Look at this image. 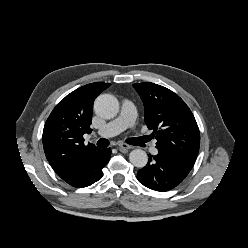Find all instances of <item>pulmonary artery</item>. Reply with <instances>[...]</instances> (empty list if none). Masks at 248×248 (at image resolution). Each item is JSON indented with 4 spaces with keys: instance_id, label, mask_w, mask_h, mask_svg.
Returning a JSON list of instances; mask_svg holds the SVG:
<instances>
[{
    "instance_id": "pulmonary-artery-1",
    "label": "pulmonary artery",
    "mask_w": 248,
    "mask_h": 248,
    "mask_svg": "<svg viewBox=\"0 0 248 248\" xmlns=\"http://www.w3.org/2000/svg\"><path fill=\"white\" fill-rule=\"evenodd\" d=\"M135 119V104L129 99H124L122 101V109L120 115L116 119L99 128L96 132V135L100 137L115 136L126 128L133 127L135 125ZM151 153L154 155L158 153L154 145L151 147Z\"/></svg>"
}]
</instances>
